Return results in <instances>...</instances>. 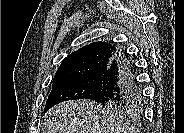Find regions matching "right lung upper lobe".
Segmentation results:
<instances>
[{
    "mask_svg": "<svg viewBox=\"0 0 184 133\" xmlns=\"http://www.w3.org/2000/svg\"><path fill=\"white\" fill-rule=\"evenodd\" d=\"M116 47L109 42H94L68 55L60 65L53 81L103 74L109 67Z\"/></svg>",
    "mask_w": 184,
    "mask_h": 133,
    "instance_id": "right-lung-upper-lobe-1",
    "label": "right lung upper lobe"
}]
</instances>
